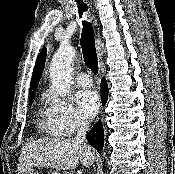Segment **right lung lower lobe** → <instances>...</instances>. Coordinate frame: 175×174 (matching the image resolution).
I'll list each match as a JSON object with an SVG mask.
<instances>
[{"label":"right lung lower lobe","instance_id":"obj_1","mask_svg":"<svg viewBox=\"0 0 175 174\" xmlns=\"http://www.w3.org/2000/svg\"><path fill=\"white\" fill-rule=\"evenodd\" d=\"M101 98L103 104L107 102L108 99V85L106 80L103 78L101 80ZM88 142L95 147L97 150H102L104 145V130L102 123L98 121L91 131L86 136Z\"/></svg>","mask_w":175,"mask_h":174}]
</instances>
